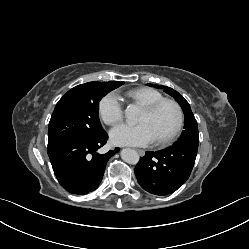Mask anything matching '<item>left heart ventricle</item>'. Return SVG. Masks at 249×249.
I'll return each instance as SVG.
<instances>
[{"mask_svg":"<svg viewBox=\"0 0 249 249\" xmlns=\"http://www.w3.org/2000/svg\"><path fill=\"white\" fill-rule=\"evenodd\" d=\"M177 114L173 106L164 105L154 113H148L142 109L138 122L146 123L150 126L155 139L166 136L174 128Z\"/></svg>","mask_w":249,"mask_h":249,"instance_id":"b2bd125f","label":"left heart ventricle"}]
</instances>
